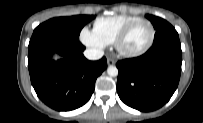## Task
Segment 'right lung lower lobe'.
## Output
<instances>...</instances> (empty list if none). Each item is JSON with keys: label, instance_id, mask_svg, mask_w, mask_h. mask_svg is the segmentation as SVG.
Returning <instances> with one entry per match:
<instances>
[{"label": "right lung lower lobe", "instance_id": "right-lung-lower-lobe-1", "mask_svg": "<svg viewBox=\"0 0 203 123\" xmlns=\"http://www.w3.org/2000/svg\"><path fill=\"white\" fill-rule=\"evenodd\" d=\"M85 47L76 39L33 33L28 46L31 84L42 102L57 111H70L91 98L97 77L106 69L105 57L87 60ZM63 58L54 61L52 55Z\"/></svg>", "mask_w": 203, "mask_h": 123}]
</instances>
